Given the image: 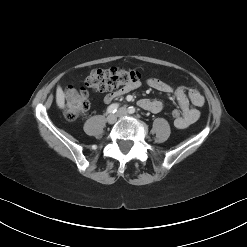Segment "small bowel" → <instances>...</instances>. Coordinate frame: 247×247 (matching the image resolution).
I'll use <instances>...</instances> for the list:
<instances>
[{
  "label": "small bowel",
  "mask_w": 247,
  "mask_h": 247,
  "mask_svg": "<svg viewBox=\"0 0 247 247\" xmlns=\"http://www.w3.org/2000/svg\"><path fill=\"white\" fill-rule=\"evenodd\" d=\"M146 83L153 89L164 93L173 94L176 97L177 102L182 109L181 117L174 121L176 128L185 129L198 120L200 117L199 108L202 107L205 102L204 96L198 90L193 88L186 89L184 86L174 87L173 85L158 78H149ZM139 86L140 82L137 81L133 84L115 90L107 94L104 101L106 103H110L116 98L131 92ZM138 105L142 109L152 113H159L164 107L162 101L148 98L140 99Z\"/></svg>",
  "instance_id": "obj_1"
}]
</instances>
